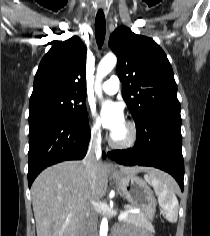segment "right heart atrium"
<instances>
[{
	"label": "right heart atrium",
	"mask_w": 210,
	"mask_h": 236,
	"mask_svg": "<svg viewBox=\"0 0 210 236\" xmlns=\"http://www.w3.org/2000/svg\"><path fill=\"white\" fill-rule=\"evenodd\" d=\"M88 129L92 138L98 140L102 137V126L95 115L90 112L88 116Z\"/></svg>",
	"instance_id": "d8ad5b80"
}]
</instances>
